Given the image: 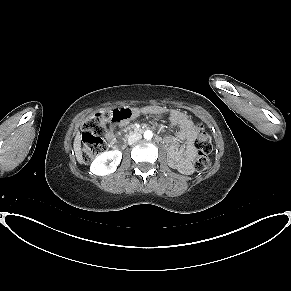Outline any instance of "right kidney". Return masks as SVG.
<instances>
[{
	"mask_svg": "<svg viewBox=\"0 0 291 291\" xmlns=\"http://www.w3.org/2000/svg\"><path fill=\"white\" fill-rule=\"evenodd\" d=\"M121 159L122 152L119 150L103 152L94 159L90 166V171L95 175H108L116 171ZM108 161H110L109 164Z\"/></svg>",
	"mask_w": 291,
	"mask_h": 291,
	"instance_id": "right-kidney-1",
	"label": "right kidney"
}]
</instances>
